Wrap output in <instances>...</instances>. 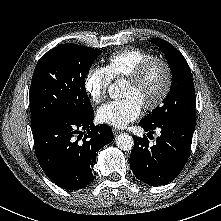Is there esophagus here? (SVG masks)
I'll list each match as a JSON object with an SVG mask.
<instances>
[{"mask_svg":"<svg viewBox=\"0 0 221 221\" xmlns=\"http://www.w3.org/2000/svg\"><path fill=\"white\" fill-rule=\"evenodd\" d=\"M119 133H121V130L116 129V128H113V134H114V135H117V134H119Z\"/></svg>","mask_w":221,"mask_h":221,"instance_id":"34e87169","label":"esophagus"}]
</instances>
